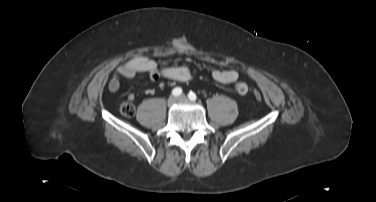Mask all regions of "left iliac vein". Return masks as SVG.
<instances>
[{"label":"left iliac vein","mask_w":376,"mask_h":202,"mask_svg":"<svg viewBox=\"0 0 376 202\" xmlns=\"http://www.w3.org/2000/svg\"><path fill=\"white\" fill-rule=\"evenodd\" d=\"M178 100H179V101H185V100H187V97H186L185 95H180V96L178 97Z\"/></svg>","instance_id":"obj_1"}]
</instances>
